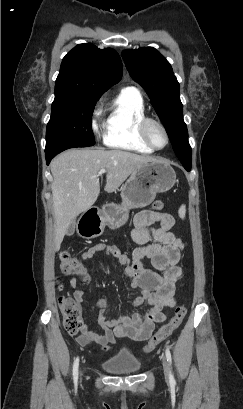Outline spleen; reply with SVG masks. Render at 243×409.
I'll return each mask as SVG.
<instances>
[{
	"mask_svg": "<svg viewBox=\"0 0 243 409\" xmlns=\"http://www.w3.org/2000/svg\"><path fill=\"white\" fill-rule=\"evenodd\" d=\"M178 214L180 216V218H184L185 214H186V206L185 205H181V207L179 208Z\"/></svg>",
	"mask_w": 243,
	"mask_h": 409,
	"instance_id": "spleen-1",
	"label": "spleen"
}]
</instances>
